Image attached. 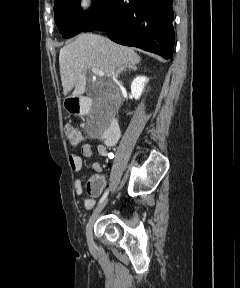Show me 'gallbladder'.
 Here are the masks:
<instances>
[{"instance_id": "gallbladder-1", "label": "gallbladder", "mask_w": 240, "mask_h": 288, "mask_svg": "<svg viewBox=\"0 0 240 288\" xmlns=\"http://www.w3.org/2000/svg\"><path fill=\"white\" fill-rule=\"evenodd\" d=\"M94 110H98L100 112H104L105 106L102 103H100L97 100H95Z\"/></svg>"}]
</instances>
